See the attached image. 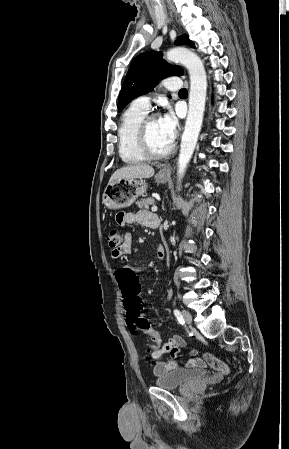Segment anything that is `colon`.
Returning <instances> with one entry per match:
<instances>
[{
  "label": "colon",
  "instance_id": "1",
  "mask_svg": "<svg viewBox=\"0 0 289 449\" xmlns=\"http://www.w3.org/2000/svg\"><path fill=\"white\" fill-rule=\"evenodd\" d=\"M107 240L110 248L115 250L122 245L123 235L119 230L113 228L108 232ZM114 275L116 280H119V290L122 296L121 304L125 305L129 328L134 332L150 336L153 342L152 346L148 349L149 358L153 353L165 351L159 332L151 327L142 312L140 285L137 275L131 268H115Z\"/></svg>",
  "mask_w": 289,
  "mask_h": 449
}]
</instances>
